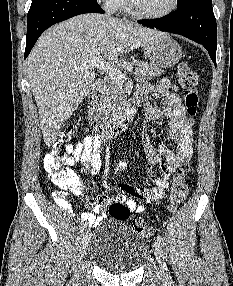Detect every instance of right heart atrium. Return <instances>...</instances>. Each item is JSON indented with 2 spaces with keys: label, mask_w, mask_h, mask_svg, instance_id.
Masks as SVG:
<instances>
[{
  "label": "right heart atrium",
  "mask_w": 233,
  "mask_h": 286,
  "mask_svg": "<svg viewBox=\"0 0 233 286\" xmlns=\"http://www.w3.org/2000/svg\"><path fill=\"white\" fill-rule=\"evenodd\" d=\"M103 2V5L106 10L114 11L117 9L121 0H100Z\"/></svg>",
  "instance_id": "1"
}]
</instances>
